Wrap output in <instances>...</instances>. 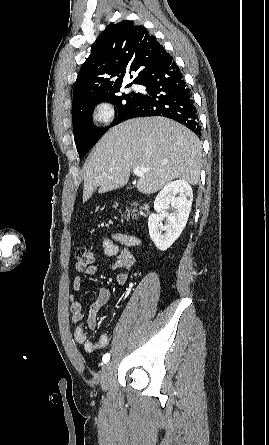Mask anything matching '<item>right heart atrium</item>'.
<instances>
[{"mask_svg": "<svg viewBox=\"0 0 269 445\" xmlns=\"http://www.w3.org/2000/svg\"><path fill=\"white\" fill-rule=\"evenodd\" d=\"M116 110L109 101H99L92 109L93 119L102 125H109L115 118Z\"/></svg>", "mask_w": 269, "mask_h": 445, "instance_id": "1", "label": "right heart atrium"}]
</instances>
